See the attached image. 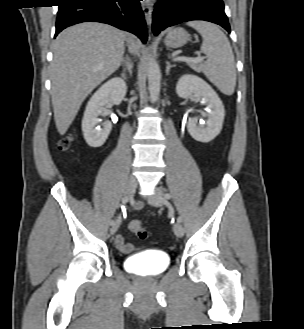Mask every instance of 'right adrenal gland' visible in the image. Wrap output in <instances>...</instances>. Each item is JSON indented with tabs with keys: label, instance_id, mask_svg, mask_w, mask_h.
<instances>
[{
	"label": "right adrenal gland",
	"instance_id": "1",
	"mask_svg": "<svg viewBox=\"0 0 304 329\" xmlns=\"http://www.w3.org/2000/svg\"><path fill=\"white\" fill-rule=\"evenodd\" d=\"M127 68H128V71L130 73V75L132 74V68H133V64L132 62L128 59V62H127ZM121 76L126 79V75L125 73H121Z\"/></svg>",
	"mask_w": 304,
	"mask_h": 329
}]
</instances>
